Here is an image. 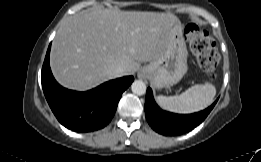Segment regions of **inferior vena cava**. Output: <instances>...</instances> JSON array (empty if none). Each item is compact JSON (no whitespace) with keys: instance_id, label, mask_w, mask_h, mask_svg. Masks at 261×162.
I'll use <instances>...</instances> for the list:
<instances>
[{"instance_id":"obj_1","label":"inferior vena cava","mask_w":261,"mask_h":162,"mask_svg":"<svg viewBox=\"0 0 261 162\" xmlns=\"http://www.w3.org/2000/svg\"><path fill=\"white\" fill-rule=\"evenodd\" d=\"M113 73L115 77H121L127 75V70L124 66L119 65L113 70Z\"/></svg>"}]
</instances>
